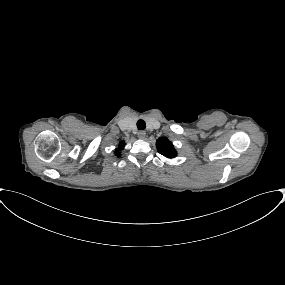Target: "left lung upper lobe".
<instances>
[{
    "mask_svg": "<svg viewBox=\"0 0 285 285\" xmlns=\"http://www.w3.org/2000/svg\"><path fill=\"white\" fill-rule=\"evenodd\" d=\"M157 150L167 158H173L177 155L173 144L165 137H160L156 141Z\"/></svg>",
    "mask_w": 285,
    "mask_h": 285,
    "instance_id": "1",
    "label": "left lung upper lobe"
}]
</instances>
